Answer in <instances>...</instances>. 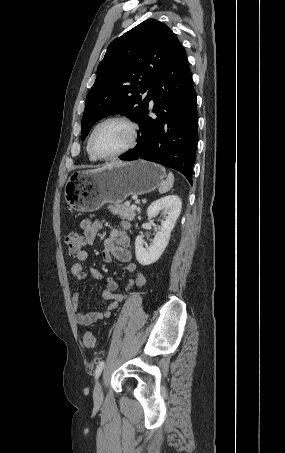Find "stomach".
<instances>
[{
    "label": "stomach",
    "instance_id": "0dacf381",
    "mask_svg": "<svg viewBox=\"0 0 285 453\" xmlns=\"http://www.w3.org/2000/svg\"><path fill=\"white\" fill-rule=\"evenodd\" d=\"M163 166L145 160L117 162L96 171H76L67 181V204L80 212H93L106 203L120 204L129 196L144 195L161 185Z\"/></svg>",
    "mask_w": 285,
    "mask_h": 453
}]
</instances>
